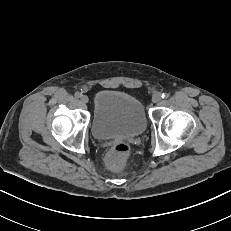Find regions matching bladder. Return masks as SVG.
Instances as JSON below:
<instances>
[{
  "label": "bladder",
  "mask_w": 231,
  "mask_h": 231,
  "mask_svg": "<svg viewBox=\"0 0 231 231\" xmlns=\"http://www.w3.org/2000/svg\"><path fill=\"white\" fill-rule=\"evenodd\" d=\"M146 126V114L138 99L112 90H101L94 95L91 132L95 138H130L144 132Z\"/></svg>",
  "instance_id": "bladder-1"
}]
</instances>
